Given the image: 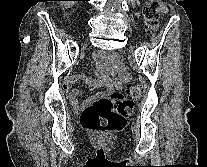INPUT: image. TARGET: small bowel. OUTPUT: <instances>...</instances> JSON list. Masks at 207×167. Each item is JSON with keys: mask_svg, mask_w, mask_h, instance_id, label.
I'll return each mask as SVG.
<instances>
[{"mask_svg": "<svg viewBox=\"0 0 207 167\" xmlns=\"http://www.w3.org/2000/svg\"><path fill=\"white\" fill-rule=\"evenodd\" d=\"M117 71H118V75L121 78L126 77V70L123 66H117ZM75 81H82V82L86 83L90 87V89H92V90L102 89L107 86L106 79L104 77H102L98 81L94 80L93 78H91L89 76H85V75H78V76H73V77L68 78V80L65 84V90L67 92L68 98H69L72 106L77 110L85 109L88 106H90L91 104H93V102L97 98V95L90 96V97L86 98L82 104H79L77 101L78 92L73 87V83Z\"/></svg>", "mask_w": 207, "mask_h": 167, "instance_id": "obj_1", "label": "small bowel"}]
</instances>
